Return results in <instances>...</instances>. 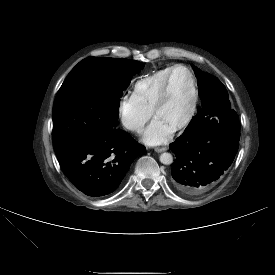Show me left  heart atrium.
<instances>
[{
    "mask_svg": "<svg viewBox=\"0 0 275 275\" xmlns=\"http://www.w3.org/2000/svg\"><path fill=\"white\" fill-rule=\"evenodd\" d=\"M173 128L162 119L155 117L142 134V141L150 146L166 143L173 133Z\"/></svg>",
    "mask_w": 275,
    "mask_h": 275,
    "instance_id": "left-heart-atrium-1",
    "label": "left heart atrium"
}]
</instances>
